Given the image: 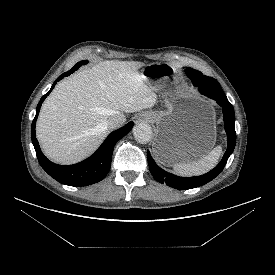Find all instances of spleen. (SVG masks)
Segmentation results:
<instances>
[{"mask_svg": "<svg viewBox=\"0 0 275 275\" xmlns=\"http://www.w3.org/2000/svg\"><path fill=\"white\" fill-rule=\"evenodd\" d=\"M221 153L222 148L217 146L201 159L194 162L174 164L173 169L181 176L201 175L211 170L218 163Z\"/></svg>", "mask_w": 275, "mask_h": 275, "instance_id": "obj_1", "label": "spleen"}]
</instances>
